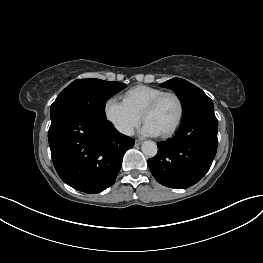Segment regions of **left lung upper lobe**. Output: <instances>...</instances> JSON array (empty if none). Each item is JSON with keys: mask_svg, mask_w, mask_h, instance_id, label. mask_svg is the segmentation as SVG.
I'll return each instance as SVG.
<instances>
[{"mask_svg": "<svg viewBox=\"0 0 263 263\" xmlns=\"http://www.w3.org/2000/svg\"><path fill=\"white\" fill-rule=\"evenodd\" d=\"M173 90L183 106V121L204 112L214 111L212 100L198 87L180 78H173L160 85Z\"/></svg>", "mask_w": 263, "mask_h": 263, "instance_id": "obj_1", "label": "left lung upper lobe"}]
</instances>
